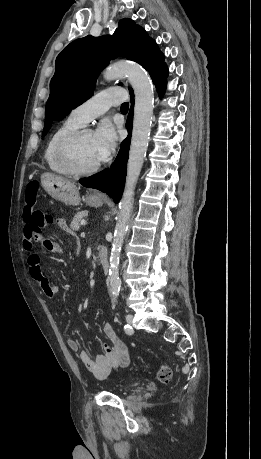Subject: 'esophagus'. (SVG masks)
<instances>
[{"label":"esophagus","instance_id":"1","mask_svg":"<svg viewBox=\"0 0 261 459\" xmlns=\"http://www.w3.org/2000/svg\"><path fill=\"white\" fill-rule=\"evenodd\" d=\"M96 195L101 196V197H104V196H105V194L102 193V192H96Z\"/></svg>","mask_w":261,"mask_h":459}]
</instances>
